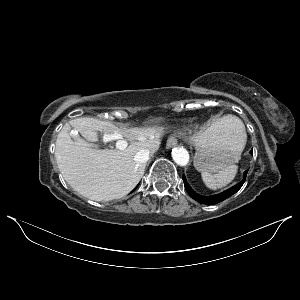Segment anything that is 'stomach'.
Returning <instances> with one entry per match:
<instances>
[{
    "mask_svg": "<svg viewBox=\"0 0 300 300\" xmlns=\"http://www.w3.org/2000/svg\"><path fill=\"white\" fill-rule=\"evenodd\" d=\"M194 166L200 172L215 173L238 162L244 149L241 137L231 123L213 122L193 137Z\"/></svg>",
    "mask_w": 300,
    "mask_h": 300,
    "instance_id": "0dacf381",
    "label": "stomach"
}]
</instances>
